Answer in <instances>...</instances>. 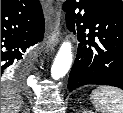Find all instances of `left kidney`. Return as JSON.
<instances>
[{"instance_id":"obj_1","label":"left kidney","mask_w":123,"mask_h":113,"mask_svg":"<svg viewBox=\"0 0 123 113\" xmlns=\"http://www.w3.org/2000/svg\"><path fill=\"white\" fill-rule=\"evenodd\" d=\"M83 113H92L91 111H83Z\"/></svg>"}]
</instances>
